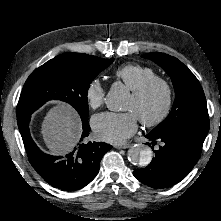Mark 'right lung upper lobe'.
<instances>
[{"instance_id":"1","label":"right lung upper lobe","mask_w":221,"mask_h":221,"mask_svg":"<svg viewBox=\"0 0 221 221\" xmlns=\"http://www.w3.org/2000/svg\"><path fill=\"white\" fill-rule=\"evenodd\" d=\"M60 57H65L67 58L69 61H72V62H84L88 59L91 58L90 55H87V54H79V53H72V52H69V53H64V54H61L59 55Z\"/></svg>"}]
</instances>
